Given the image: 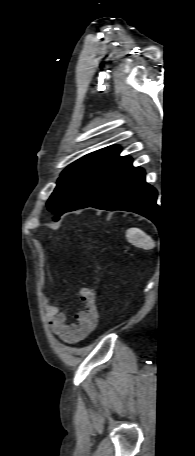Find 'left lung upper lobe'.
<instances>
[{"mask_svg":"<svg viewBox=\"0 0 195 456\" xmlns=\"http://www.w3.org/2000/svg\"><path fill=\"white\" fill-rule=\"evenodd\" d=\"M119 146L92 152L70 164L60 175L47 202L49 211L59 219L63 213L78 209L91 198L114 172L123 156Z\"/></svg>","mask_w":195,"mask_h":456,"instance_id":"obj_1","label":"left lung upper lobe"}]
</instances>
